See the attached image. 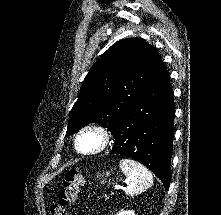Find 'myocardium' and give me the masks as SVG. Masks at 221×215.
I'll return each mask as SVG.
<instances>
[{
	"label": "myocardium",
	"instance_id": "obj_1",
	"mask_svg": "<svg viewBox=\"0 0 221 215\" xmlns=\"http://www.w3.org/2000/svg\"><path fill=\"white\" fill-rule=\"evenodd\" d=\"M87 133H95L99 137V145L89 151L82 150L80 148V139L83 135ZM111 142V133L110 131L103 125L97 123H91L82 127L76 134L74 139V146L78 153L83 155H96L108 148Z\"/></svg>",
	"mask_w": 221,
	"mask_h": 215
}]
</instances>
